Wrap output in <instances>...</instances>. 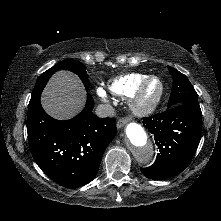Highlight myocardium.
I'll return each instance as SVG.
<instances>
[{
    "mask_svg": "<svg viewBox=\"0 0 221 221\" xmlns=\"http://www.w3.org/2000/svg\"><path fill=\"white\" fill-rule=\"evenodd\" d=\"M157 80L160 85V89L156 97L150 101L144 99V92L147 85L153 81ZM165 92V86L163 81L158 76H148L146 77L135 89V91L130 96L129 106L130 110L137 116H146L153 113L160 105Z\"/></svg>",
    "mask_w": 221,
    "mask_h": 221,
    "instance_id": "myocardium-1",
    "label": "myocardium"
}]
</instances>
